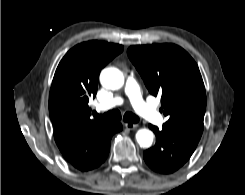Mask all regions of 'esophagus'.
<instances>
[{
  "instance_id": "34e87169",
  "label": "esophagus",
  "mask_w": 245,
  "mask_h": 195,
  "mask_svg": "<svg viewBox=\"0 0 245 195\" xmlns=\"http://www.w3.org/2000/svg\"><path fill=\"white\" fill-rule=\"evenodd\" d=\"M125 127L129 130H134L138 127V124L128 122V123H125Z\"/></svg>"
}]
</instances>
